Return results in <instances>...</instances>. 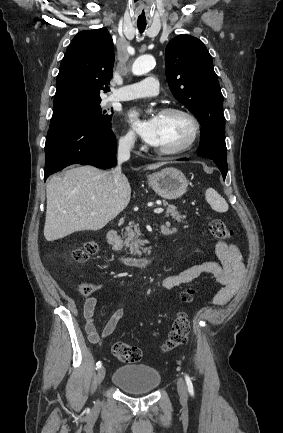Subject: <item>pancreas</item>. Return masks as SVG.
<instances>
[{"mask_svg": "<svg viewBox=\"0 0 283 433\" xmlns=\"http://www.w3.org/2000/svg\"><path fill=\"white\" fill-rule=\"evenodd\" d=\"M161 202L164 206H167L166 217H172V219H175L177 223H182V219H186V214H179L178 210H176L177 206H174V204H168L167 200H161ZM125 237V245L126 247H130L129 255H142V253H148V247H142L144 241L140 239L141 233L137 225L127 227Z\"/></svg>", "mask_w": 283, "mask_h": 433, "instance_id": "obj_1", "label": "pancreas"}]
</instances>
